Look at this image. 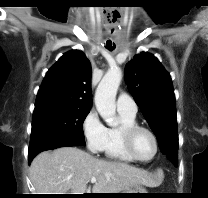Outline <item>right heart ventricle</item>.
Listing matches in <instances>:
<instances>
[{
    "label": "right heart ventricle",
    "mask_w": 208,
    "mask_h": 198,
    "mask_svg": "<svg viewBox=\"0 0 208 198\" xmlns=\"http://www.w3.org/2000/svg\"><path fill=\"white\" fill-rule=\"evenodd\" d=\"M121 123L117 127L107 128L106 140L103 153L107 159L134 163L136 160L127 152L122 138V129L126 126L136 124V115L119 112Z\"/></svg>",
    "instance_id": "obj_1"
}]
</instances>
